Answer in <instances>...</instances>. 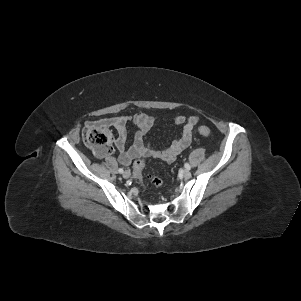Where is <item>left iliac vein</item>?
Returning a JSON list of instances; mask_svg holds the SVG:
<instances>
[{
    "instance_id": "obj_1",
    "label": "left iliac vein",
    "mask_w": 301,
    "mask_h": 301,
    "mask_svg": "<svg viewBox=\"0 0 301 301\" xmlns=\"http://www.w3.org/2000/svg\"><path fill=\"white\" fill-rule=\"evenodd\" d=\"M183 177H184L185 179H189V178L191 177V172L188 171V170H185V171L183 172Z\"/></svg>"
}]
</instances>
